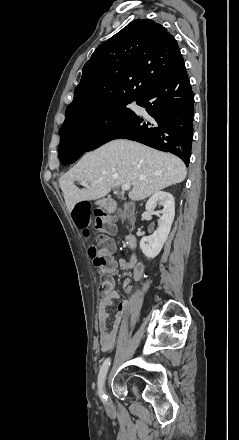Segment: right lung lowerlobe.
I'll use <instances>...</instances> for the list:
<instances>
[{
    "label": "right lung lower lobe",
    "instance_id": "1",
    "mask_svg": "<svg viewBox=\"0 0 239 440\" xmlns=\"http://www.w3.org/2000/svg\"><path fill=\"white\" fill-rule=\"evenodd\" d=\"M148 116L134 112L121 123L104 131L87 147H65L58 151L59 160L74 163L85 152L113 139L135 140L158 150L171 152L189 165L193 140L194 95L182 60L166 76L153 83L137 98Z\"/></svg>",
    "mask_w": 239,
    "mask_h": 440
}]
</instances>
